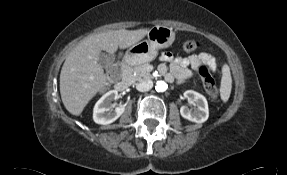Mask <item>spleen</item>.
Wrapping results in <instances>:
<instances>
[{
    "label": "spleen",
    "mask_w": 287,
    "mask_h": 175,
    "mask_svg": "<svg viewBox=\"0 0 287 175\" xmlns=\"http://www.w3.org/2000/svg\"><path fill=\"white\" fill-rule=\"evenodd\" d=\"M232 89V78L230 73V68L227 64H224L222 67V78L220 85V97L223 102H227Z\"/></svg>",
    "instance_id": "obj_1"
}]
</instances>
